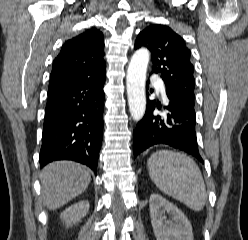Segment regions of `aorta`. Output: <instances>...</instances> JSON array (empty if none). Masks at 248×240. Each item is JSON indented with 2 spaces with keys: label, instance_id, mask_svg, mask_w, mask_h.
<instances>
[{
  "label": "aorta",
  "instance_id": "aorta-1",
  "mask_svg": "<svg viewBox=\"0 0 248 240\" xmlns=\"http://www.w3.org/2000/svg\"><path fill=\"white\" fill-rule=\"evenodd\" d=\"M149 59V51L140 49L132 56L127 70L128 105L134 121H140L146 110L145 83Z\"/></svg>",
  "mask_w": 248,
  "mask_h": 240
}]
</instances>
